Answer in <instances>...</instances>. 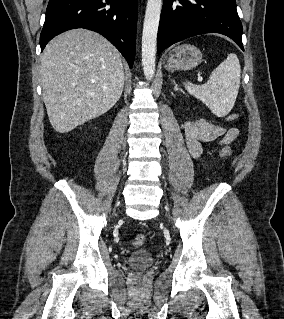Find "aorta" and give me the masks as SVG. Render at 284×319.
<instances>
[{
  "label": "aorta",
  "instance_id": "762f6f07",
  "mask_svg": "<svg viewBox=\"0 0 284 319\" xmlns=\"http://www.w3.org/2000/svg\"><path fill=\"white\" fill-rule=\"evenodd\" d=\"M162 0H148L142 33V67L144 76L151 80L155 75L157 32Z\"/></svg>",
  "mask_w": 284,
  "mask_h": 319
}]
</instances>
